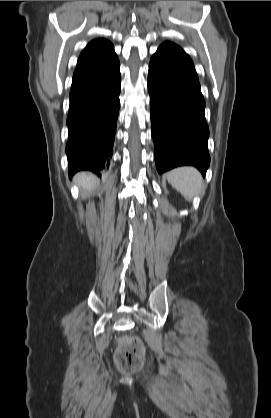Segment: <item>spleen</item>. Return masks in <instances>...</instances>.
Returning a JSON list of instances; mask_svg holds the SVG:
<instances>
[{
  "instance_id": "1",
  "label": "spleen",
  "mask_w": 271,
  "mask_h": 418,
  "mask_svg": "<svg viewBox=\"0 0 271 418\" xmlns=\"http://www.w3.org/2000/svg\"><path fill=\"white\" fill-rule=\"evenodd\" d=\"M168 182L185 198L192 199L199 195L203 188L200 172L190 166L175 168L166 174Z\"/></svg>"
}]
</instances>
